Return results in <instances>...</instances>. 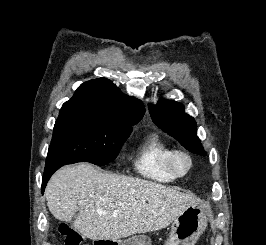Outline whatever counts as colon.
Segmentation results:
<instances>
[{
    "mask_svg": "<svg viewBox=\"0 0 266 245\" xmlns=\"http://www.w3.org/2000/svg\"><path fill=\"white\" fill-rule=\"evenodd\" d=\"M58 233L63 237L64 245H82V236L72 229L67 223L60 225Z\"/></svg>",
    "mask_w": 266,
    "mask_h": 245,
    "instance_id": "5ec220e1",
    "label": "colon"
}]
</instances>
